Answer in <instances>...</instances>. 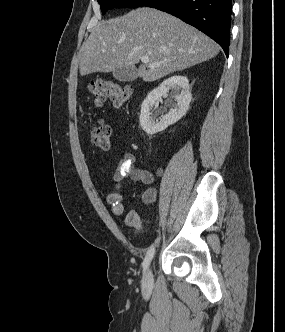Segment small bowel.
I'll use <instances>...</instances> for the list:
<instances>
[{
    "mask_svg": "<svg viewBox=\"0 0 285 332\" xmlns=\"http://www.w3.org/2000/svg\"><path fill=\"white\" fill-rule=\"evenodd\" d=\"M135 156L132 153H125L120 161L112 178L113 190L109 192L105 199L111 208V211L115 215H120L124 211V205L122 202V194L120 192L124 179L128 178L134 182H141L145 185H152L154 182V175L152 172L135 168ZM158 176L162 175L161 171H158ZM156 192L153 188H149L143 194V200L147 203H151L155 200ZM126 223L131 227H140L144 223V219L136 212H130L126 216Z\"/></svg>",
    "mask_w": 285,
    "mask_h": 332,
    "instance_id": "small-bowel-1",
    "label": "small bowel"
}]
</instances>
